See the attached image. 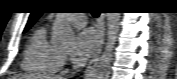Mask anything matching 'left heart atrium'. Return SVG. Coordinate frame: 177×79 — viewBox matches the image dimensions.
I'll use <instances>...</instances> for the list:
<instances>
[{"label": "left heart atrium", "mask_w": 177, "mask_h": 79, "mask_svg": "<svg viewBox=\"0 0 177 79\" xmlns=\"http://www.w3.org/2000/svg\"><path fill=\"white\" fill-rule=\"evenodd\" d=\"M98 35L92 28H82L76 35L75 46L71 52L75 62H84L95 51Z\"/></svg>", "instance_id": "obj_1"}]
</instances>
